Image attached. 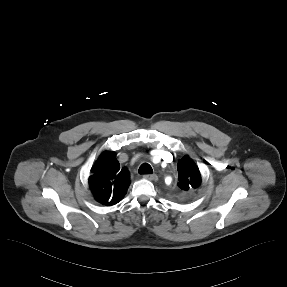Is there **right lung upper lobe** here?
Instances as JSON below:
<instances>
[{"instance_id":"right-lung-upper-lobe-1","label":"right lung upper lobe","mask_w":287,"mask_h":287,"mask_svg":"<svg viewBox=\"0 0 287 287\" xmlns=\"http://www.w3.org/2000/svg\"><path fill=\"white\" fill-rule=\"evenodd\" d=\"M91 172L89 187L99 203L111 206L121 201L129 187L130 176L126 168L120 169L114 152H103Z\"/></svg>"}]
</instances>
